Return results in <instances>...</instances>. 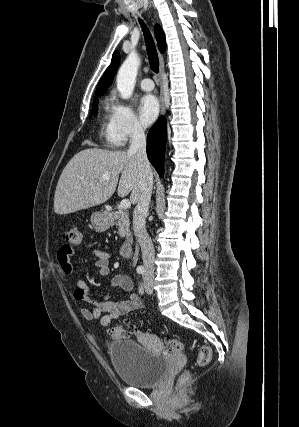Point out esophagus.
Returning <instances> with one entry per match:
<instances>
[{
  "instance_id": "34e87169",
  "label": "esophagus",
  "mask_w": 299,
  "mask_h": 427,
  "mask_svg": "<svg viewBox=\"0 0 299 427\" xmlns=\"http://www.w3.org/2000/svg\"><path fill=\"white\" fill-rule=\"evenodd\" d=\"M164 70V59L163 55L160 54V80H161V93H160V101H161V114L164 115L166 112V107L164 103V95H163V84H162V75Z\"/></svg>"
}]
</instances>
